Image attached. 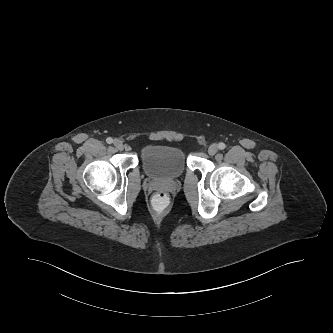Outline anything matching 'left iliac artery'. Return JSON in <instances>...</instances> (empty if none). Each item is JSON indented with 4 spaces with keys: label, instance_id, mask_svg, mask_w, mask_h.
Wrapping results in <instances>:
<instances>
[{
    "label": "left iliac artery",
    "instance_id": "left-iliac-artery-1",
    "mask_svg": "<svg viewBox=\"0 0 333 333\" xmlns=\"http://www.w3.org/2000/svg\"><path fill=\"white\" fill-rule=\"evenodd\" d=\"M225 147H226V145H225L223 142H220V143L218 144V148H219L220 150L225 149Z\"/></svg>",
    "mask_w": 333,
    "mask_h": 333
}]
</instances>
